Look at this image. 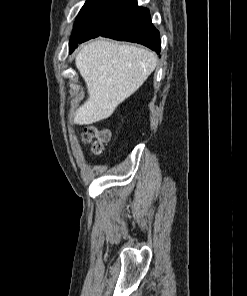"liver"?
I'll list each match as a JSON object with an SVG mask.
<instances>
[{"label":"liver","instance_id":"obj_1","mask_svg":"<svg viewBox=\"0 0 247 296\" xmlns=\"http://www.w3.org/2000/svg\"><path fill=\"white\" fill-rule=\"evenodd\" d=\"M156 55L144 48L99 39L84 46L75 65L84 79L88 99L74 114L78 125L108 118L135 93L156 67Z\"/></svg>","mask_w":247,"mask_h":296}]
</instances>
